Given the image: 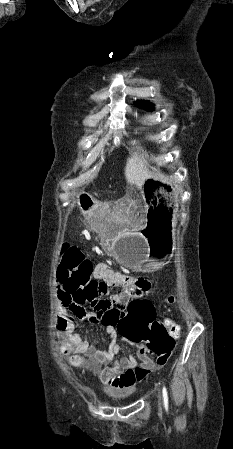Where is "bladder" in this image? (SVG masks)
<instances>
[{
    "label": "bladder",
    "mask_w": 233,
    "mask_h": 449,
    "mask_svg": "<svg viewBox=\"0 0 233 449\" xmlns=\"http://www.w3.org/2000/svg\"><path fill=\"white\" fill-rule=\"evenodd\" d=\"M105 393L112 399L121 400L128 398L132 394L131 389H123L118 391L105 390Z\"/></svg>",
    "instance_id": "obj_1"
}]
</instances>
